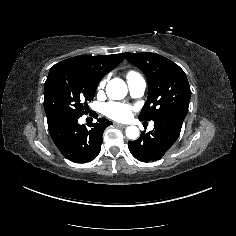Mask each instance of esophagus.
I'll return each instance as SVG.
<instances>
[{
    "label": "esophagus",
    "instance_id": "1",
    "mask_svg": "<svg viewBox=\"0 0 236 236\" xmlns=\"http://www.w3.org/2000/svg\"><path fill=\"white\" fill-rule=\"evenodd\" d=\"M114 125L119 126V127H123V128L128 126L127 124H121V123H116V122H114Z\"/></svg>",
    "mask_w": 236,
    "mask_h": 236
}]
</instances>
